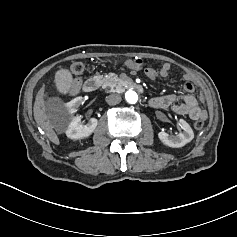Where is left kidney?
I'll use <instances>...</instances> for the list:
<instances>
[{"label": "left kidney", "mask_w": 237, "mask_h": 237, "mask_svg": "<svg viewBox=\"0 0 237 237\" xmlns=\"http://www.w3.org/2000/svg\"><path fill=\"white\" fill-rule=\"evenodd\" d=\"M179 125L182 127L183 132L177 135H169L166 132H159L158 139L166 146L171 148L183 147L194 138V132L191 126L184 120L179 119Z\"/></svg>", "instance_id": "obj_1"}]
</instances>
